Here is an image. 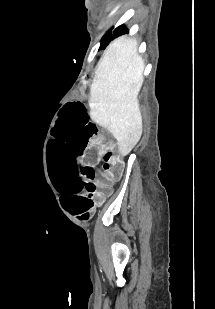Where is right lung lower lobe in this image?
<instances>
[{"instance_id":"1","label":"right lung lower lobe","mask_w":215,"mask_h":309,"mask_svg":"<svg viewBox=\"0 0 215 309\" xmlns=\"http://www.w3.org/2000/svg\"><path fill=\"white\" fill-rule=\"evenodd\" d=\"M125 32H127V30L125 29V27H124V26H121L120 31H119V33H118V35L123 34V33H125Z\"/></svg>"}]
</instances>
